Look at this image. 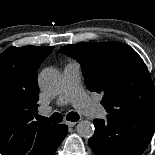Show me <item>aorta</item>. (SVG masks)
I'll return each mask as SVG.
<instances>
[{
	"label": "aorta",
	"instance_id": "obj_1",
	"mask_svg": "<svg viewBox=\"0 0 155 155\" xmlns=\"http://www.w3.org/2000/svg\"><path fill=\"white\" fill-rule=\"evenodd\" d=\"M39 84L48 94H57L63 86L61 73L55 68H45L39 75ZM76 129L83 138H90L94 134V126L87 120L80 121Z\"/></svg>",
	"mask_w": 155,
	"mask_h": 155
}]
</instances>
